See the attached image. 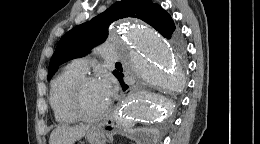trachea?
<instances>
[{
	"mask_svg": "<svg viewBox=\"0 0 260 144\" xmlns=\"http://www.w3.org/2000/svg\"><path fill=\"white\" fill-rule=\"evenodd\" d=\"M116 65H121V63H120V62H117Z\"/></svg>",
	"mask_w": 260,
	"mask_h": 144,
	"instance_id": "trachea-1",
	"label": "trachea"
}]
</instances>
